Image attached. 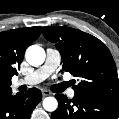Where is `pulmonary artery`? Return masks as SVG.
Returning a JSON list of instances; mask_svg holds the SVG:
<instances>
[{"label":"pulmonary artery","mask_w":119,"mask_h":119,"mask_svg":"<svg viewBox=\"0 0 119 119\" xmlns=\"http://www.w3.org/2000/svg\"><path fill=\"white\" fill-rule=\"evenodd\" d=\"M61 61V55L58 50L54 48H47L46 50V59L44 64L37 70L29 73L28 75L19 78L14 85H27L32 86L41 83L44 81L52 72H54L59 66ZM69 97H74L75 92L73 89L68 91Z\"/></svg>","instance_id":"e3ab8cb5"}]
</instances>
